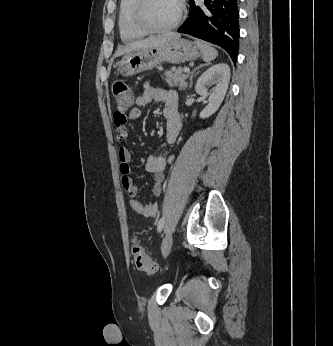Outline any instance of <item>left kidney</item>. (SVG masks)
Listing matches in <instances>:
<instances>
[{
  "label": "left kidney",
  "instance_id": "1",
  "mask_svg": "<svg viewBox=\"0 0 333 346\" xmlns=\"http://www.w3.org/2000/svg\"><path fill=\"white\" fill-rule=\"evenodd\" d=\"M230 81V68L226 63H218L208 68L197 80L195 90L201 96L209 95L208 105L200 112V118H207L220 107ZM212 92L208 88L213 86Z\"/></svg>",
  "mask_w": 333,
  "mask_h": 346
}]
</instances>
